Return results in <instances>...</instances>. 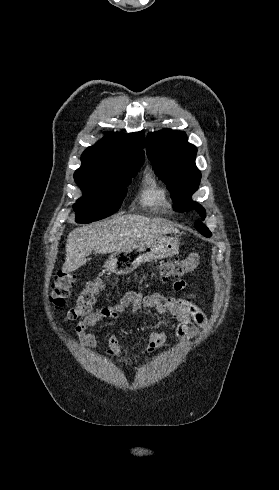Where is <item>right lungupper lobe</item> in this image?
I'll return each instance as SVG.
<instances>
[{"label":"right lung upper lobe","mask_w":279,"mask_h":490,"mask_svg":"<svg viewBox=\"0 0 279 490\" xmlns=\"http://www.w3.org/2000/svg\"><path fill=\"white\" fill-rule=\"evenodd\" d=\"M144 132L108 133L82 154V165L75 175L104 177L125 168L141 167L144 162Z\"/></svg>","instance_id":"obj_1"}]
</instances>
